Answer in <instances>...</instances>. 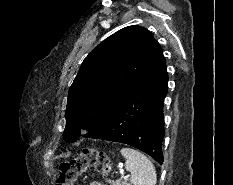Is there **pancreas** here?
Segmentation results:
<instances>
[{
  "label": "pancreas",
  "mask_w": 233,
  "mask_h": 185,
  "mask_svg": "<svg viewBox=\"0 0 233 185\" xmlns=\"http://www.w3.org/2000/svg\"><path fill=\"white\" fill-rule=\"evenodd\" d=\"M107 182L111 185H130L126 180L125 181H120V180H111V179H107Z\"/></svg>",
  "instance_id": "obj_1"
}]
</instances>
